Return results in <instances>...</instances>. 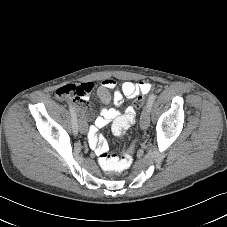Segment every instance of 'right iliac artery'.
Masks as SVG:
<instances>
[{"instance_id": "obj_1", "label": "right iliac artery", "mask_w": 227, "mask_h": 227, "mask_svg": "<svg viewBox=\"0 0 227 227\" xmlns=\"http://www.w3.org/2000/svg\"><path fill=\"white\" fill-rule=\"evenodd\" d=\"M69 110H70V114L72 117V129L74 134H77L78 132V124H77V114L75 112V109L72 107V105L69 104Z\"/></svg>"}]
</instances>
